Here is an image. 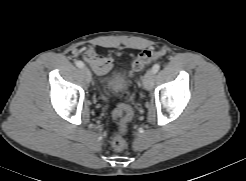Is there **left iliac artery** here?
Listing matches in <instances>:
<instances>
[{
  "label": "left iliac artery",
  "mask_w": 246,
  "mask_h": 181,
  "mask_svg": "<svg viewBox=\"0 0 246 181\" xmlns=\"http://www.w3.org/2000/svg\"><path fill=\"white\" fill-rule=\"evenodd\" d=\"M160 69V65L158 63H156L153 67H152V71L154 73H157Z\"/></svg>",
  "instance_id": "obj_1"
}]
</instances>
